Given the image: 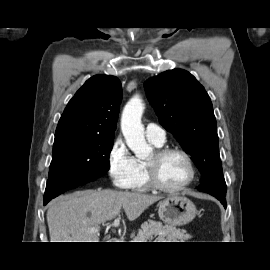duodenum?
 I'll list each match as a JSON object with an SVG mask.
<instances>
[{"label":"duodenum","instance_id":"obj_1","mask_svg":"<svg viewBox=\"0 0 270 270\" xmlns=\"http://www.w3.org/2000/svg\"><path fill=\"white\" fill-rule=\"evenodd\" d=\"M110 241H111V242H117V240L114 239V238H111Z\"/></svg>","mask_w":270,"mask_h":270}]
</instances>
